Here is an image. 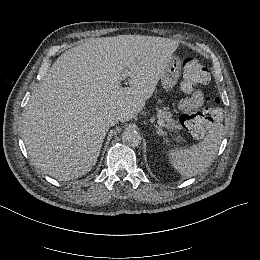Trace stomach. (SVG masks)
Masks as SVG:
<instances>
[{"label":"stomach","instance_id":"1","mask_svg":"<svg viewBox=\"0 0 260 260\" xmlns=\"http://www.w3.org/2000/svg\"><path fill=\"white\" fill-rule=\"evenodd\" d=\"M182 62L178 58H171L167 62V68L164 74L161 76L162 87L170 91L177 84L181 75Z\"/></svg>","mask_w":260,"mask_h":260}]
</instances>
